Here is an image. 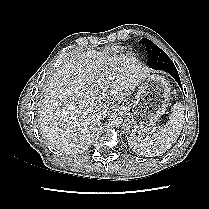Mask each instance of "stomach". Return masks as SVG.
Instances as JSON below:
<instances>
[{"label": "stomach", "mask_w": 209, "mask_h": 209, "mask_svg": "<svg viewBox=\"0 0 209 209\" xmlns=\"http://www.w3.org/2000/svg\"><path fill=\"white\" fill-rule=\"evenodd\" d=\"M169 94V83L164 77L148 76L135 100L122 103L121 109L126 116L125 131L135 134L152 129L168 107Z\"/></svg>", "instance_id": "obj_1"}]
</instances>
